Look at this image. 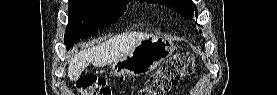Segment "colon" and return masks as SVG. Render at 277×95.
Instances as JSON below:
<instances>
[{
  "instance_id": "1",
  "label": "colon",
  "mask_w": 277,
  "mask_h": 95,
  "mask_svg": "<svg viewBox=\"0 0 277 95\" xmlns=\"http://www.w3.org/2000/svg\"><path fill=\"white\" fill-rule=\"evenodd\" d=\"M195 62L189 53H180L162 64L145 82L139 91V95H163L172 85L182 78L190 76L195 72ZM76 87L81 94L86 95H111L112 88L105 80L95 76L81 77Z\"/></svg>"
}]
</instances>
